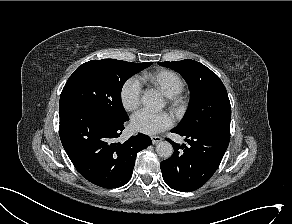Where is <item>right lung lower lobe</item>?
Here are the masks:
<instances>
[{"instance_id": "98d812e1", "label": "right lung lower lobe", "mask_w": 292, "mask_h": 224, "mask_svg": "<svg viewBox=\"0 0 292 224\" xmlns=\"http://www.w3.org/2000/svg\"><path fill=\"white\" fill-rule=\"evenodd\" d=\"M59 116L60 139L71 162L85 179L103 188L125 185L137 153L152 144L142 133L118 142L128 116L112 121L76 104L59 107Z\"/></svg>"}]
</instances>
